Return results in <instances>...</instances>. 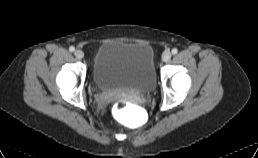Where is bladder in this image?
<instances>
[{
	"label": "bladder",
	"mask_w": 258,
	"mask_h": 158,
	"mask_svg": "<svg viewBox=\"0 0 258 158\" xmlns=\"http://www.w3.org/2000/svg\"><path fill=\"white\" fill-rule=\"evenodd\" d=\"M94 84L103 90L150 93L156 85L154 52L147 43H102L92 67Z\"/></svg>",
	"instance_id": "bladder-1"
}]
</instances>
